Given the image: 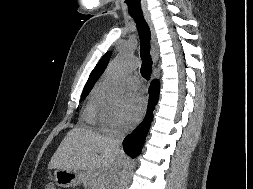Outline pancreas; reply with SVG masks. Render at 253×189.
Returning <instances> with one entry per match:
<instances>
[{
  "instance_id": "obj_1",
  "label": "pancreas",
  "mask_w": 253,
  "mask_h": 189,
  "mask_svg": "<svg viewBox=\"0 0 253 189\" xmlns=\"http://www.w3.org/2000/svg\"><path fill=\"white\" fill-rule=\"evenodd\" d=\"M82 181L88 189H105L104 175L96 169L85 170Z\"/></svg>"
}]
</instances>
